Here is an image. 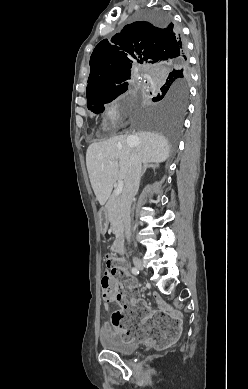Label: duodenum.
I'll list each match as a JSON object with an SVG mask.
<instances>
[{"label":"duodenum","mask_w":248,"mask_h":389,"mask_svg":"<svg viewBox=\"0 0 248 389\" xmlns=\"http://www.w3.org/2000/svg\"><path fill=\"white\" fill-rule=\"evenodd\" d=\"M115 251L119 255H122L124 253V245H123V239H122L121 234H119V237L117 238V240L115 242Z\"/></svg>","instance_id":"1"}]
</instances>
